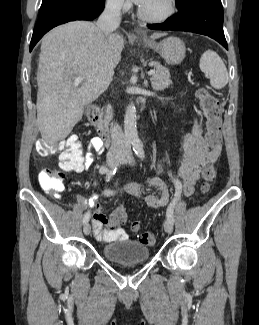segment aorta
I'll use <instances>...</instances> for the list:
<instances>
[{
  "label": "aorta",
  "instance_id": "obj_1",
  "mask_svg": "<svg viewBox=\"0 0 259 325\" xmlns=\"http://www.w3.org/2000/svg\"><path fill=\"white\" fill-rule=\"evenodd\" d=\"M136 107L131 102L126 109L124 116V133L125 138L130 141L134 148L140 147V140L138 137L137 126H136Z\"/></svg>",
  "mask_w": 259,
  "mask_h": 325
}]
</instances>
